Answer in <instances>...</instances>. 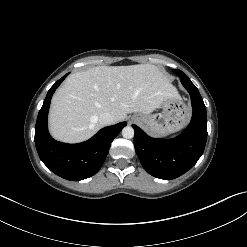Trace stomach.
<instances>
[{
    "label": "stomach",
    "instance_id": "1",
    "mask_svg": "<svg viewBox=\"0 0 247 247\" xmlns=\"http://www.w3.org/2000/svg\"><path fill=\"white\" fill-rule=\"evenodd\" d=\"M161 112L138 114L134 120L153 136H167L181 130L190 118V109L180 97L167 98Z\"/></svg>",
    "mask_w": 247,
    "mask_h": 247
}]
</instances>
